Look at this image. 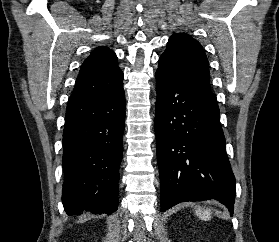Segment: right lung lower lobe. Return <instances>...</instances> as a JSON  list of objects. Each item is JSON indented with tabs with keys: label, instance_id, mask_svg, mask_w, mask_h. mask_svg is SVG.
<instances>
[{
	"label": "right lung lower lobe",
	"instance_id": "98d812e1",
	"mask_svg": "<svg viewBox=\"0 0 279 242\" xmlns=\"http://www.w3.org/2000/svg\"><path fill=\"white\" fill-rule=\"evenodd\" d=\"M124 118L123 86L98 98L68 103L62 165V203L68 215L117 210Z\"/></svg>",
	"mask_w": 279,
	"mask_h": 242
}]
</instances>
